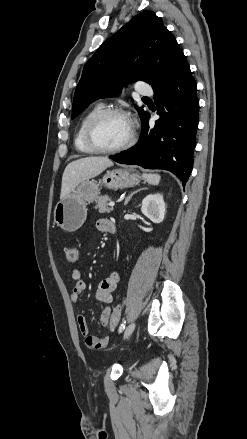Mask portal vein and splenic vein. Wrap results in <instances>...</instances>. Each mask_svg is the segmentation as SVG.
<instances>
[{
  "instance_id": "18ae733b",
  "label": "portal vein and splenic vein",
  "mask_w": 247,
  "mask_h": 439,
  "mask_svg": "<svg viewBox=\"0 0 247 439\" xmlns=\"http://www.w3.org/2000/svg\"><path fill=\"white\" fill-rule=\"evenodd\" d=\"M114 205H115V202H113V201L109 203V206H111V207H113Z\"/></svg>"
}]
</instances>
